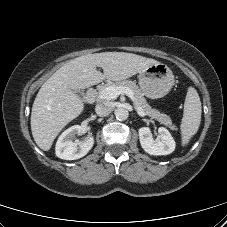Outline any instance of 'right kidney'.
<instances>
[{
  "instance_id": "obj_1",
  "label": "right kidney",
  "mask_w": 227,
  "mask_h": 227,
  "mask_svg": "<svg viewBox=\"0 0 227 227\" xmlns=\"http://www.w3.org/2000/svg\"><path fill=\"white\" fill-rule=\"evenodd\" d=\"M82 127L74 125L65 130L57 140L56 155L65 160H76L85 156L93 147L94 138L89 136L84 142H76V135H80Z\"/></svg>"
}]
</instances>
